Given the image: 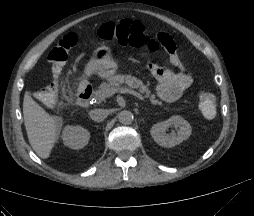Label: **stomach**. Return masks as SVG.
Returning a JSON list of instances; mask_svg holds the SVG:
<instances>
[{
    "label": "stomach",
    "instance_id": "stomach-1",
    "mask_svg": "<svg viewBox=\"0 0 254 216\" xmlns=\"http://www.w3.org/2000/svg\"><path fill=\"white\" fill-rule=\"evenodd\" d=\"M118 69L119 62L112 57L111 49L102 44L93 51L83 73L85 76L97 74L104 78L117 73Z\"/></svg>",
    "mask_w": 254,
    "mask_h": 216
}]
</instances>
